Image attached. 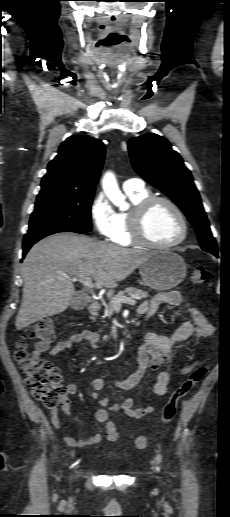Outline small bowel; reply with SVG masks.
Instances as JSON below:
<instances>
[{"label":"small bowel","instance_id":"small-bowel-1","mask_svg":"<svg viewBox=\"0 0 230 517\" xmlns=\"http://www.w3.org/2000/svg\"><path fill=\"white\" fill-rule=\"evenodd\" d=\"M164 305H184L186 312L190 319L182 323L176 331L170 335H160L153 332H145L142 335V345L139 349L137 362L138 368L130 376L123 380L111 379L107 374H103L92 380L93 391L91 397L101 407L94 413V419L97 423H107L106 433L108 427L112 423L108 422V414L124 412L130 417L140 419L154 412L152 405H144L139 408H134V400L127 398L120 403H112L108 405V399L101 396L98 391L104 388L107 380L121 390H130L137 386L142 380L147 370H157L160 367L167 365L172 359L173 348L184 342H191L192 348L187 355L186 364L178 371L173 372L164 369L159 372L155 382L152 385V391L158 396L166 395L169 383L175 374L189 373L195 366L203 363V361L194 360V345L202 338L211 337L215 333V327L207 320L206 316L195 306H193L187 297L177 291H169L155 294L150 300L143 301L138 311L140 314L152 315L157 309ZM99 334L89 329H84L79 333L70 335L67 339L59 341L53 347L47 342H37L34 346L33 354L39 356L48 352L51 356H57L61 352L69 349L75 345H84L99 349ZM77 385L68 383L66 385L67 396L63 397L60 403V409L64 415L70 416L71 404L68 395L77 392ZM108 406V407H107ZM107 407V409H105ZM50 419L53 427L61 430V421L56 409L51 411ZM104 432L98 431L86 439H77L72 436H64V441L67 445L72 447H86L99 443L103 438Z\"/></svg>","mask_w":230,"mask_h":517}]
</instances>
